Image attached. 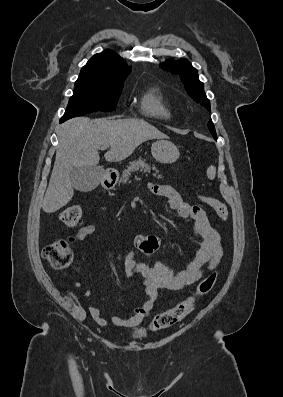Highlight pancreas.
Instances as JSON below:
<instances>
[{"instance_id": "cf45deb5", "label": "pancreas", "mask_w": 283, "mask_h": 397, "mask_svg": "<svg viewBox=\"0 0 283 397\" xmlns=\"http://www.w3.org/2000/svg\"><path fill=\"white\" fill-rule=\"evenodd\" d=\"M138 170L144 173H149L151 170L157 171L154 165L151 166L149 163L145 162L144 159L139 158L138 160L129 163V166H127V168L123 171L120 182L127 183L129 177L131 176V173L136 172ZM157 177L161 178L160 175H158Z\"/></svg>"}]
</instances>
